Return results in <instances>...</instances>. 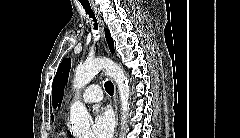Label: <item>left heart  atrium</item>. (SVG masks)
I'll return each instance as SVG.
<instances>
[{
  "mask_svg": "<svg viewBox=\"0 0 240 138\" xmlns=\"http://www.w3.org/2000/svg\"><path fill=\"white\" fill-rule=\"evenodd\" d=\"M114 129V118L108 109H99L92 124L94 138H110Z\"/></svg>",
  "mask_w": 240,
  "mask_h": 138,
  "instance_id": "obj_1",
  "label": "left heart atrium"
}]
</instances>
